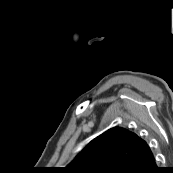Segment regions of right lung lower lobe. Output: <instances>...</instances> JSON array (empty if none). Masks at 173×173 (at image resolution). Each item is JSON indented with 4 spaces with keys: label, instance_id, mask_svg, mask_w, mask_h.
I'll return each instance as SVG.
<instances>
[{
    "label": "right lung lower lobe",
    "instance_id": "right-lung-lower-lobe-1",
    "mask_svg": "<svg viewBox=\"0 0 173 173\" xmlns=\"http://www.w3.org/2000/svg\"><path fill=\"white\" fill-rule=\"evenodd\" d=\"M153 154L137 161L131 165L124 173H159Z\"/></svg>",
    "mask_w": 173,
    "mask_h": 173
}]
</instances>
